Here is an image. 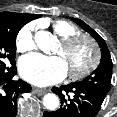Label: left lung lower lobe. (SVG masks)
<instances>
[{
  "mask_svg": "<svg viewBox=\"0 0 117 117\" xmlns=\"http://www.w3.org/2000/svg\"><path fill=\"white\" fill-rule=\"evenodd\" d=\"M52 91L62 100L61 107L54 112H44V117H95L105 98L99 92L75 83L54 87ZM69 93H73V97L70 98Z\"/></svg>",
  "mask_w": 117,
  "mask_h": 117,
  "instance_id": "left-lung-lower-lobe-1",
  "label": "left lung lower lobe"
}]
</instances>
